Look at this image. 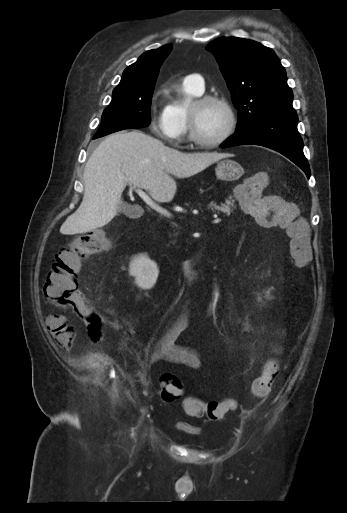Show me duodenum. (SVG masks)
Here are the masks:
<instances>
[{
    "mask_svg": "<svg viewBox=\"0 0 347 513\" xmlns=\"http://www.w3.org/2000/svg\"><path fill=\"white\" fill-rule=\"evenodd\" d=\"M200 258V253L196 254L188 260H184L180 263L179 270L184 279L195 277V264Z\"/></svg>",
    "mask_w": 347,
    "mask_h": 513,
    "instance_id": "duodenum-1",
    "label": "duodenum"
}]
</instances>
